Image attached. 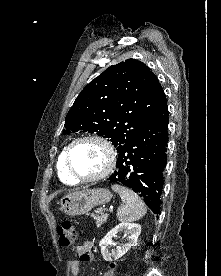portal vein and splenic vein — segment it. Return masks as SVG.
Masks as SVG:
<instances>
[{
    "label": "portal vein and splenic vein",
    "mask_w": 221,
    "mask_h": 276,
    "mask_svg": "<svg viewBox=\"0 0 221 276\" xmlns=\"http://www.w3.org/2000/svg\"><path fill=\"white\" fill-rule=\"evenodd\" d=\"M108 211H109V212H112V208H109Z\"/></svg>",
    "instance_id": "1"
}]
</instances>
